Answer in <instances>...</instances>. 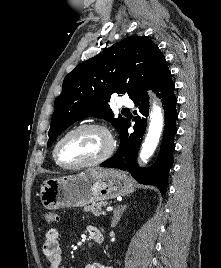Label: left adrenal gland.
<instances>
[{
  "instance_id": "obj_1",
  "label": "left adrenal gland",
  "mask_w": 221,
  "mask_h": 268,
  "mask_svg": "<svg viewBox=\"0 0 221 268\" xmlns=\"http://www.w3.org/2000/svg\"><path fill=\"white\" fill-rule=\"evenodd\" d=\"M127 205H119L113 211V217L111 221V227H115L121 219L122 214L126 210Z\"/></svg>"
}]
</instances>
